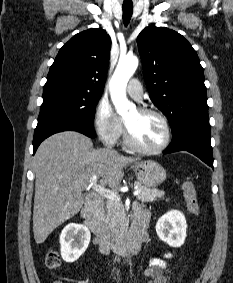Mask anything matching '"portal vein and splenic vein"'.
I'll use <instances>...</instances> for the list:
<instances>
[{
    "instance_id": "18ae733b",
    "label": "portal vein and splenic vein",
    "mask_w": 233,
    "mask_h": 283,
    "mask_svg": "<svg viewBox=\"0 0 233 283\" xmlns=\"http://www.w3.org/2000/svg\"><path fill=\"white\" fill-rule=\"evenodd\" d=\"M96 181H97V176H93L90 180V187L93 188L96 192H98L102 196L106 197L107 199L115 200V201L120 200V197L116 192L111 191V190H109V189H107V188H105L101 185H98L96 183ZM139 193H140V191L138 189H136L133 192V195L137 196Z\"/></svg>"
}]
</instances>
